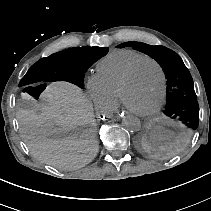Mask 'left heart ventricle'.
<instances>
[{
	"label": "left heart ventricle",
	"instance_id": "1",
	"mask_svg": "<svg viewBox=\"0 0 211 211\" xmlns=\"http://www.w3.org/2000/svg\"><path fill=\"white\" fill-rule=\"evenodd\" d=\"M160 74L153 63H145L135 73L124 91V102L136 111H149L159 100Z\"/></svg>",
	"mask_w": 211,
	"mask_h": 211
}]
</instances>
